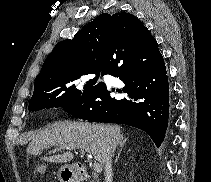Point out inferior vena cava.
Returning a JSON list of instances; mask_svg holds the SVG:
<instances>
[{"mask_svg": "<svg viewBox=\"0 0 211 182\" xmlns=\"http://www.w3.org/2000/svg\"><path fill=\"white\" fill-rule=\"evenodd\" d=\"M105 176H106V182H112V162H111V156H108L106 158L105 163Z\"/></svg>", "mask_w": 211, "mask_h": 182, "instance_id": "inferior-vena-cava-1", "label": "inferior vena cava"}]
</instances>
